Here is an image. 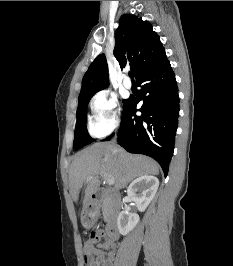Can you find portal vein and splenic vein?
<instances>
[{
	"instance_id": "portal-vein-and-splenic-vein-1",
	"label": "portal vein and splenic vein",
	"mask_w": 233,
	"mask_h": 266,
	"mask_svg": "<svg viewBox=\"0 0 233 266\" xmlns=\"http://www.w3.org/2000/svg\"><path fill=\"white\" fill-rule=\"evenodd\" d=\"M106 182L109 184V185H113L114 184V179L111 178V177H104Z\"/></svg>"
}]
</instances>
